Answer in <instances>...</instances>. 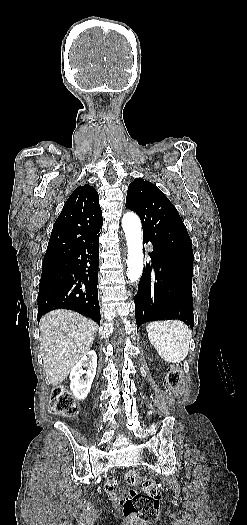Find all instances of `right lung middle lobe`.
Segmentation results:
<instances>
[{
	"mask_svg": "<svg viewBox=\"0 0 247 525\" xmlns=\"http://www.w3.org/2000/svg\"><path fill=\"white\" fill-rule=\"evenodd\" d=\"M60 260V256H52L43 260V263H53Z\"/></svg>",
	"mask_w": 247,
	"mask_h": 525,
	"instance_id": "1",
	"label": "right lung middle lobe"
}]
</instances>
